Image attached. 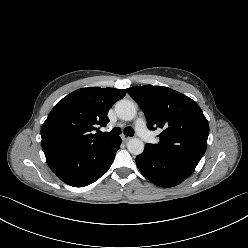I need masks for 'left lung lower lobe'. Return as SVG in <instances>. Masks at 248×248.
<instances>
[{
	"label": "left lung lower lobe",
	"mask_w": 248,
	"mask_h": 248,
	"mask_svg": "<svg viewBox=\"0 0 248 248\" xmlns=\"http://www.w3.org/2000/svg\"><path fill=\"white\" fill-rule=\"evenodd\" d=\"M136 164L145 177L161 187L180 184L193 173L197 166L192 162L155 153L146 146L143 153L136 157Z\"/></svg>",
	"instance_id": "left-lung-lower-lobe-1"
}]
</instances>
